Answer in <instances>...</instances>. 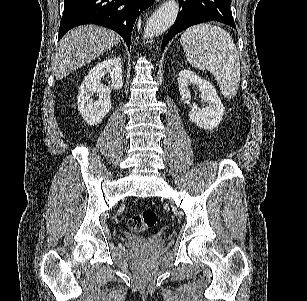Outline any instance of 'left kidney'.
Instances as JSON below:
<instances>
[{"mask_svg": "<svg viewBox=\"0 0 307 301\" xmlns=\"http://www.w3.org/2000/svg\"><path fill=\"white\" fill-rule=\"evenodd\" d=\"M177 82L179 92L184 100H191L189 86H198L199 90H201L200 98L202 102H206L204 108H200V106L193 102L188 114L190 120L195 122L197 126L206 128V130L216 128L223 118L225 106L222 104L213 84L209 80H204V78L198 76L196 72L186 70V68L180 70Z\"/></svg>", "mask_w": 307, "mask_h": 301, "instance_id": "obj_1", "label": "left kidney"}]
</instances>
